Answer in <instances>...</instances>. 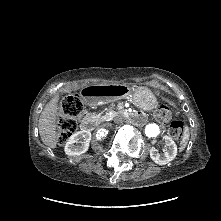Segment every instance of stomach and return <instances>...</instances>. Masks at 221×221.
Masks as SVG:
<instances>
[{
  "label": "stomach",
  "mask_w": 221,
  "mask_h": 221,
  "mask_svg": "<svg viewBox=\"0 0 221 221\" xmlns=\"http://www.w3.org/2000/svg\"><path fill=\"white\" fill-rule=\"evenodd\" d=\"M158 93V91L152 92L147 87H135L133 88L130 98L136 105L144 109H149L154 105L155 95Z\"/></svg>",
  "instance_id": "1"
}]
</instances>
